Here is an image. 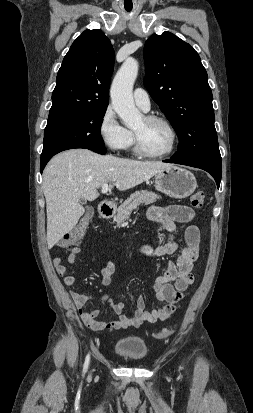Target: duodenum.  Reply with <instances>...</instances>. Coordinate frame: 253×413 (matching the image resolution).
Listing matches in <instances>:
<instances>
[{
	"mask_svg": "<svg viewBox=\"0 0 253 413\" xmlns=\"http://www.w3.org/2000/svg\"><path fill=\"white\" fill-rule=\"evenodd\" d=\"M99 214L102 218H110L114 214V207L111 203L103 201L99 204L98 207Z\"/></svg>",
	"mask_w": 253,
	"mask_h": 413,
	"instance_id": "410a0bca",
	"label": "duodenum"
}]
</instances>
